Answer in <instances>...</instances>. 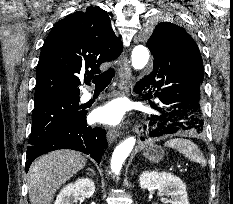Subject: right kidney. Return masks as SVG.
Instances as JSON below:
<instances>
[{"instance_id": "ca27d5eb", "label": "right kidney", "mask_w": 233, "mask_h": 204, "mask_svg": "<svg viewBox=\"0 0 233 204\" xmlns=\"http://www.w3.org/2000/svg\"><path fill=\"white\" fill-rule=\"evenodd\" d=\"M95 192V184L90 178H81L69 183L57 195L54 204H74L79 197L90 198Z\"/></svg>"}]
</instances>
